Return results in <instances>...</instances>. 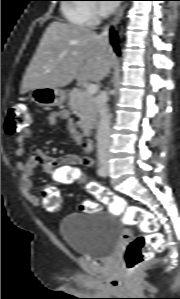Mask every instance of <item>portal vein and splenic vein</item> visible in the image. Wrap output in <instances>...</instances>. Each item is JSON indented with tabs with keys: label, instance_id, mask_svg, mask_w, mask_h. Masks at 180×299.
Listing matches in <instances>:
<instances>
[{
	"label": "portal vein and splenic vein",
	"instance_id": "portal-vein-and-splenic-vein-1",
	"mask_svg": "<svg viewBox=\"0 0 180 299\" xmlns=\"http://www.w3.org/2000/svg\"><path fill=\"white\" fill-rule=\"evenodd\" d=\"M98 86L96 84H90L86 87L85 92L89 95H93L97 92Z\"/></svg>",
	"mask_w": 180,
	"mask_h": 299
}]
</instances>
